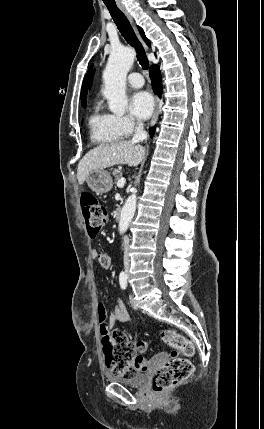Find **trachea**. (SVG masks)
<instances>
[{"mask_svg": "<svg viewBox=\"0 0 264 429\" xmlns=\"http://www.w3.org/2000/svg\"><path fill=\"white\" fill-rule=\"evenodd\" d=\"M107 9L109 10L112 19L114 20L116 26L118 27L120 33L124 37V39L127 41L128 44H130L132 47L135 48L137 53V59L139 61V64L142 66L144 70L148 69L149 67V61L147 59L146 53L144 51V48L140 41L138 40L131 24L129 23L127 17L124 15V13L117 7L116 4H107L105 3Z\"/></svg>", "mask_w": 264, "mask_h": 429, "instance_id": "trachea-1", "label": "trachea"}]
</instances>
